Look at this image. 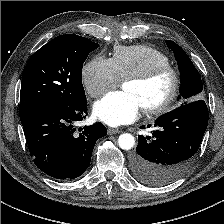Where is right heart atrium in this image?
<instances>
[{"label":"right heart atrium","mask_w":224,"mask_h":224,"mask_svg":"<svg viewBox=\"0 0 224 224\" xmlns=\"http://www.w3.org/2000/svg\"><path fill=\"white\" fill-rule=\"evenodd\" d=\"M82 83L91 97H99L121 83L110 58L96 56L82 70Z\"/></svg>","instance_id":"right-heart-atrium-1"}]
</instances>
